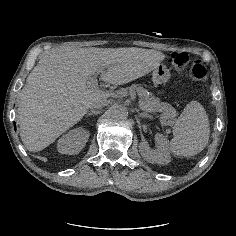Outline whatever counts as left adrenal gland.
Wrapping results in <instances>:
<instances>
[{"label": "left adrenal gland", "mask_w": 236, "mask_h": 236, "mask_svg": "<svg viewBox=\"0 0 236 236\" xmlns=\"http://www.w3.org/2000/svg\"><path fill=\"white\" fill-rule=\"evenodd\" d=\"M139 116H140L141 118H148V117H149V114L146 113V112H142V113H139Z\"/></svg>", "instance_id": "a2214340"}]
</instances>
